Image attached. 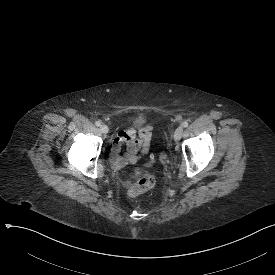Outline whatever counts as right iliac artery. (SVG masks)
I'll use <instances>...</instances> for the list:
<instances>
[{
  "mask_svg": "<svg viewBox=\"0 0 275 275\" xmlns=\"http://www.w3.org/2000/svg\"><path fill=\"white\" fill-rule=\"evenodd\" d=\"M95 125H96V126H100V125H101V122H100V121H96V122H95Z\"/></svg>",
  "mask_w": 275,
  "mask_h": 275,
  "instance_id": "1",
  "label": "right iliac artery"
}]
</instances>
